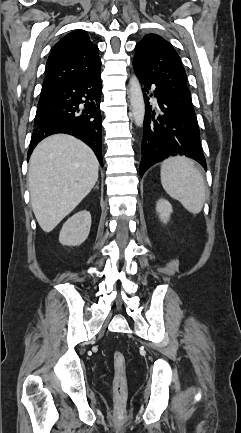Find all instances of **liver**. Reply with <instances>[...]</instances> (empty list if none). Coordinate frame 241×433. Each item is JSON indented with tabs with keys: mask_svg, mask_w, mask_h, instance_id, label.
<instances>
[{
	"mask_svg": "<svg viewBox=\"0 0 241 433\" xmlns=\"http://www.w3.org/2000/svg\"><path fill=\"white\" fill-rule=\"evenodd\" d=\"M98 170L93 151L70 135H52L37 145L28 180L32 209L44 232H51L89 194Z\"/></svg>",
	"mask_w": 241,
	"mask_h": 433,
	"instance_id": "liver-1",
	"label": "liver"
}]
</instances>
